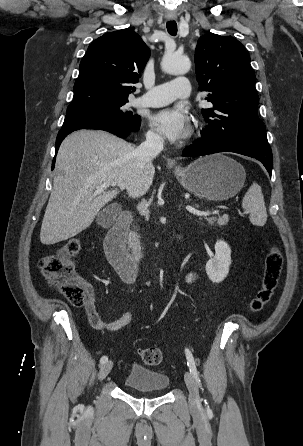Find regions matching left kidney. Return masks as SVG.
Wrapping results in <instances>:
<instances>
[{
  "instance_id": "5707ae66",
  "label": "left kidney",
  "mask_w": 303,
  "mask_h": 446,
  "mask_svg": "<svg viewBox=\"0 0 303 446\" xmlns=\"http://www.w3.org/2000/svg\"><path fill=\"white\" fill-rule=\"evenodd\" d=\"M231 264V249L223 240L215 243V256L205 266L209 279L214 283L222 282L229 273Z\"/></svg>"
}]
</instances>
